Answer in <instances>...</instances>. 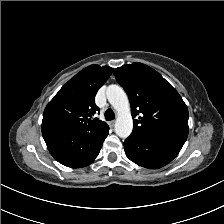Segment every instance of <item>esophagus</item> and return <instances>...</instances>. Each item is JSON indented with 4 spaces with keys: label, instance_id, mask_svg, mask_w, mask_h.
Segmentation results:
<instances>
[{
    "label": "esophagus",
    "instance_id": "1",
    "mask_svg": "<svg viewBox=\"0 0 224 224\" xmlns=\"http://www.w3.org/2000/svg\"><path fill=\"white\" fill-rule=\"evenodd\" d=\"M108 124H109V126H110V127H112V128H113V127H114V125H115V121H114V120H112V121H110Z\"/></svg>",
    "mask_w": 224,
    "mask_h": 224
}]
</instances>
